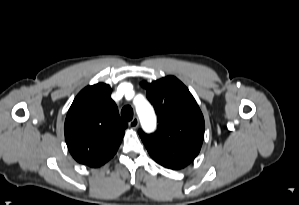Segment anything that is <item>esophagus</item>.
<instances>
[{
  "label": "esophagus",
  "instance_id": "obj_1",
  "mask_svg": "<svg viewBox=\"0 0 299 205\" xmlns=\"http://www.w3.org/2000/svg\"><path fill=\"white\" fill-rule=\"evenodd\" d=\"M129 125H130V127H131L132 129H136V128L139 126V120H138V118H137V117H134V118L130 121Z\"/></svg>",
  "mask_w": 299,
  "mask_h": 205
}]
</instances>
